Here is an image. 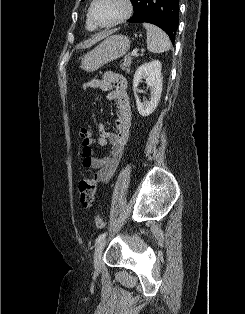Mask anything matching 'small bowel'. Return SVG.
<instances>
[{"label":"small bowel","mask_w":245,"mask_h":314,"mask_svg":"<svg viewBox=\"0 0 245 314\" xmlns=\"http://www.w3.org/2000/svg\"><path fill=\"white\" fill-rule=\"evenodd\" d=\"M83 89L98 88L107 92V99L114 101L116 119L114 131H109L104 124H99L98 135L93 137L92 131L82 127L79 132L82 147V166L96 169L95 181L106 184L113 176L123 155L131 128V108L128 87L125 79L116 72H105L101 79H92L82 85ZM109 145L106 156H97L93 146Z\"/></svg>","instance_id":"c3829d8e"}]
</instances>
